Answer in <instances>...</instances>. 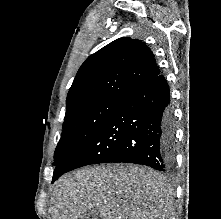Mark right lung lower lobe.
<instances>
[{
  "instance_id": "1",
  "label": "right lung lower lobe",
  "mask_w": 221,
  "mask_h": 219,
  "mask_svg": "<svg viewBox=\"0 0 221 219\" xmlns=\"http://www.w3.org/2000/svg\"><path fill=\"white\" fill-rule=\"evenodd\" d=\"M168 84L158 75L120 101L100 128L55 168L65 172L97 163L125 162L167 172L175 161V123Z\"/></svg>"
}]
</instances>
